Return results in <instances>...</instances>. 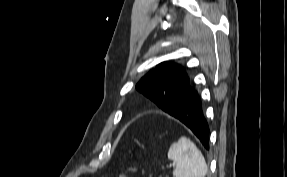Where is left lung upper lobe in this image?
I'll list each match as a JSON object with an SVG mask.
<instances>
[{"instance_id":"left-lung-upper-lobe-1","label":"left lung upper lobe","mask_w":287,"mask_h":177,"mask_svg":"<svg viewBox=\"0 0 287 177\" xmlns=\"http://www.w3.org/2000/svg\"><path fill=\"white\" fill-rule=\"evenodd\" d=\"M191 87L189 77L179 64L162 62L147 73L136 85V89L169 112L173 95Z\"/></svg>"}]
</instances>
